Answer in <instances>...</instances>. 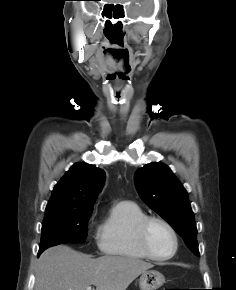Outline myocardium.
<instances>
[{
    "mask_svg": "<svg viewBox=\"0 0 236 290\" xmlns=\"http://www.w3.org/2000/svg\"><path fill=\"white\" fill-rule=\"evenodd\" d=\"M153 223H159L163 225L170 232L173 238L174 248L173 251L167 256H158L150 248L148 241V231ZM137 239L143 253L148 258L156 261H166L173 258L176 255L179 248V238L176 230L167 220L158 216H146L143 220L140 221V223L137 226Z\"/></svg>",
    "mask_w": 236,
    "mask_h": 290,
    "instance_id": "myocardium-1",
    "label": "myocardium"
}]
</instances>
